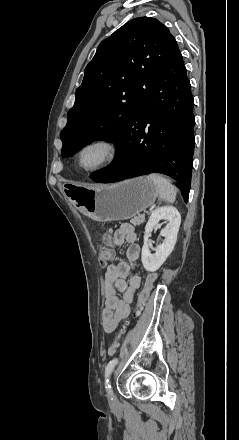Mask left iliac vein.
Wrapping results in <instances>:
<instances>
[{
	"label": "left iliac vein",
	"instance_id": "obj_1",
	"mask_svg": "<svg viewBox=\"0 0 239 440\" xmlns=\"http://www.w3.org/2000/svg\"><path fill=\"white\" fill-rule=\"evenodd\" d=\"M108 401L110 406L112 407L116 406V399L112 393H108Z\"/></svg>",
	"mask_w": 239,
	"mask_h": 440
}]
</instances>
